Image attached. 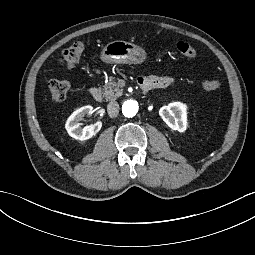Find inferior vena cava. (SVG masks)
<instances>
[{
	"mask_svg": "<svg viewBox=\"0 0 255 255\" xmlns=\"http://www.w3.org/2000/svg\"><path fill=\"white\" fill-rule=\"evenodd\" d=\"M108 114L111 118H114L119 113V104L116 101L109 102L107 106Z\"/></svg>",
	"mask_w": 255,
	"mask_h": 255,
	"instance_id": "obj_1",
	"label": "inferior vena cava"
}]
</instances>
